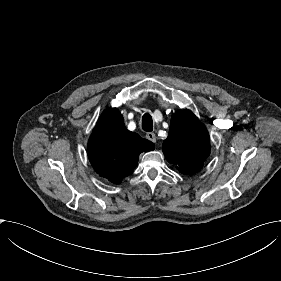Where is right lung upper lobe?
Returning a JSON list of instances; mask_svg holds the SVG:
<instances>
[{"label":"right lung upper lobe","mask_w":281,"mask_h":281,"mask_svg":"<svg viewBox=\"0 0 281 281\" xmlns=\"http://www.w3.org/2000/svg\"><path fill=\"white\" fill-rule=\"evenodd\" d=\"M154 149V144L124 125L116 108L103 112L88 141V157L94 170L119 184L137 166L139 154Z\"/></svg>","instance_id":"right-lung-upper-lobe-1"}]
</instances>
